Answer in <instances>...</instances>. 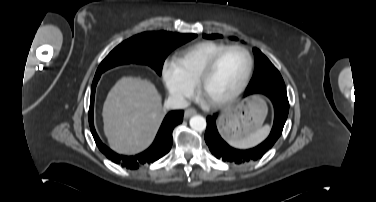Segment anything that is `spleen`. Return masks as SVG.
I'll return each instance as SVG.
<instances>
[{
    "mask_svg": "<svg viewBox=\"0 0 376 202\" xmlns=\"http://www.w3.org/2000/svg\"><path fill=\"white\" fill-rule=\"evenodd\" d=\"M269 129L270 127L268 125H265L248 137L240 139L238 141L230 142V144L234 147L244 149L254 147L261 143L268 136Z\"/></svg>",
    "mask_w": 376,
    "mask_h": 202,
    "instance_id": "3e777b00",
    "label": "spleen"
}]
</instances>
